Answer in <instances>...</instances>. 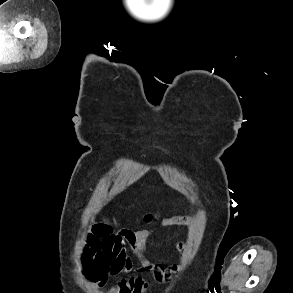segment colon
Returning <instances> with one entry per match:
<instances>
[{
    "mask_svg": "<svg viewBox=\"0 0 293 293\" xmlns=\"http://www.w3.org/2000/svg\"><path fill=\"white\" fill-rule=\"evenodd\" d=\"M153 218H154V215H153V214H147V215H145V217H144V219H145L146 221H151ZM98 227H107V226H105V225H99Z\"/></svg>",
    "mask_w": 293,
    "mask_h": 293,
    "instance_id": "obj_1",
    "label": "colon"
}]
</instances>
